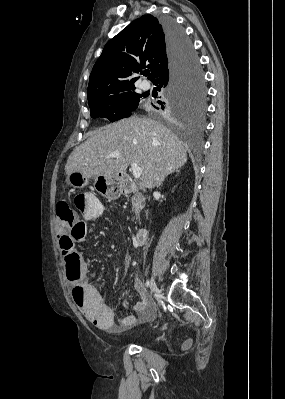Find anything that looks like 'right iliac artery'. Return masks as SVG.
<instances>
[{
  "instance_id": "1",
  "label": "right iliac artery",
  "mask_w": 285,
  "mask_h": 399,
  "mask_svg": "<svg viewBox=\"0 0 285 399\" xmlns=\"http://www.w3.org/2000/svg\"><path fill=\"white\" fill-rule=\"evenodd\" d=\"M145 285H146V287H149V286H150V281H149V280H146Z\"/></svg>"
}]
</instances>
